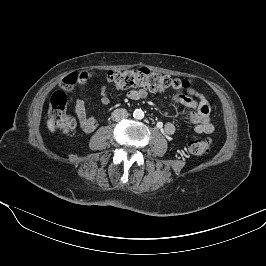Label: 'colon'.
<instances>
[{
  "label": "colon",
  "instance_id": "1",
  "mask_svg": "<svg viewBox=\"0 0 266 266\" xmlns=\"http://www.w3.org/2000/svg\"><path fill=\"white\" fill-rule=\"evenodd\" d=\"M89 74H70L66 76L59 88H57L51 98L48 109L50 122L64 132L72 131L76 128V120L67 114V107L70 103L69 91L76 84H85L89 79ZM109 82L120 89L134 87H144L152 91L165 90H187L190 86L187 81L175 79L161 73H157L142 67L138 69L113 70L106 75ZM211 140L208 138L194 139L188 145V150L194 155H204L210 151Z\"/></svg>",
  "mask_w": 266,
  "mask_h": 266
}]
</instances>
